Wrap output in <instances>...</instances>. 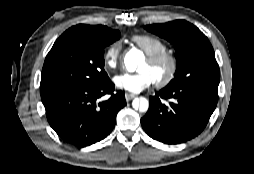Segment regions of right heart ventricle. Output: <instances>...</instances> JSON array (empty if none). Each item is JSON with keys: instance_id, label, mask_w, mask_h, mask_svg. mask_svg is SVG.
Here are the masks:
<instances>
[{"instance_id": "right-heart-ventricle-1", "label": "right heart ventricle", "mask_w": 254, "mask_h": 174, "mask_svg": "<svg viewBox=\"0 0 254 174\" xmlns=\"http://www.w3.org/2000/svg\"><path fill=\"white\" fill-rule=\"evenodd\" d=\"M131 41L138 46L147 56L162 51H167V44L161 38L151 34H137L131 37Z\"/></svg>"}]
</instances>
